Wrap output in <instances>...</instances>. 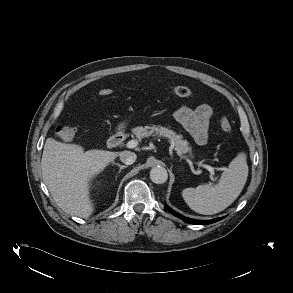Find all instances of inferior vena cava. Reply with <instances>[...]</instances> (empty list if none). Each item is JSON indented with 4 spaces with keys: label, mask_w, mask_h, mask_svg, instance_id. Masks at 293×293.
Masks as SVG:
<instances>
[{
    "label": "inferior vena cava",
    "mask_w": 293,
    "mask_h": 293,
    "mask_svg": "<svg viewBox=\"0 0 293 293\" xmlns=\"http://www.w3.org/2000/svg\"><path fill=\"white\" fill-rule=\"evenodd\" d=\"M136 154L131 151H123L120 153V160L126 164V165H131L136 161Z\"/></svg>",
    "instance_id": "obj_1"
}]
</instances>
